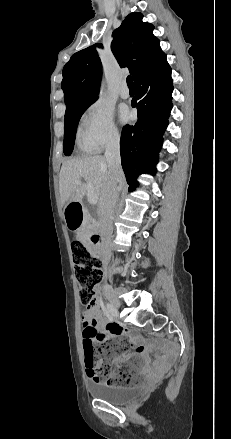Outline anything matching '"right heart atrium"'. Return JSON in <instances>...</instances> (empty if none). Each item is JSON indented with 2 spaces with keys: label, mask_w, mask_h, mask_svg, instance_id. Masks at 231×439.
<instances>
[{
  "label": "right heart atrium",
  "mask_w": 231,
  "mask_h": 439,
  "mask_svg": "<svg viewBox=\"0 0 231 439\" xmlns=\"http://www.w3.org/2000/svg\"><path fill=\"white\" fill-rule=\"evenodd\" d=\"M80 136L93 151L118 144L120 133L112 109L100 101L92 103L83 114Z\"/></svg>",
  "instance_id": "d8ad5b80"
}]
</instances>
